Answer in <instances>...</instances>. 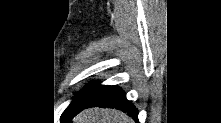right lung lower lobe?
<instances>
[{
	"label": "right lung lower lobe",
	"mask_w": 221,
	"mask_h": 123,
	"mask_svg": "<svg viewBox=\"0 0 221 123\" xmlns=\"http://www.w3.org/2000/svg\"><path fill=\"white\" fill-rule=\"evenodd\" d=\"M102 107V108H115L127 111L131 114L133 119L137 120L136 108L126 99L125 93L116 86H99L91 99V101L84 107ZM62 117L66 121H70L73 117H66L63 113Z\"/></svg>",
	"instance_id": "right-lung-lower-lobe-1"
}]
</instances>
